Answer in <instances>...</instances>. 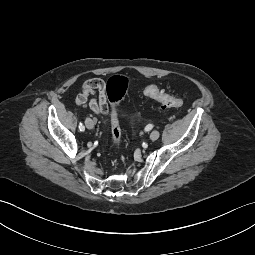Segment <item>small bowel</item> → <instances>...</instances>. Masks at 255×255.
Segmentation results:
<instances>
[{"label":"small bowel","instance_id":"1","mask_svg":"<svg viewBox=\"0 0 255 255\" xmlns=\"http://www.w3.org/2000/svg\"><path fill=\"white\" fill-rule=\"evenodd\" d=\"M76 104L79 106L89 105L96 114L107 115L110 111L106 83L100 78L87 80L82 92L76 97Z\"/></svg>","mask_w":255,"mask_h":255}]
</instances>
